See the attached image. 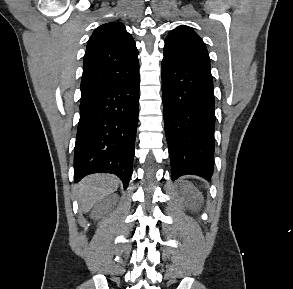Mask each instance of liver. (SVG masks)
<instances>
[{
    "mask_svg": "<svg viewBox=\"0 0 293 289\" xmlns=\"http://www.w3.org/2000/svg\"><path fill=\"white\" fill-rule=\"evenodd\" d=\"M119 180L110 174H93L78 185L76 197L83 212H88L101 199L118 189Z\"/></svg>",
    "mask_w": 293,
    "mask_h": 289,
    "instance_id": "6515ba94",
    "label": "liver"
}]
</instances>
